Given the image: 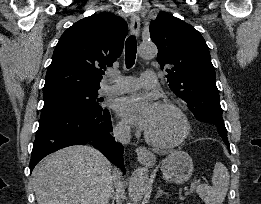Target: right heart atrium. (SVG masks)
I'll list each match as a JSON object with an SVG mask.
<instances>
[{
  "label": "right heart atrium",
  "mask_w": 261,
  "mask_h": 204,
  "mask_svg": "<svg viewBox=\"0 0 261 204\" xmlns=\"http://www.w3.org/2000/svg\"><path fill=\"white\" fill-rule=\"evenodd\" d=\"M115 133L120 138H128L130 136V127L123 121H119L115 126Z\"/></svg>",
  "instance_id": "right-heart-atrium-1"
}]
</instances>
